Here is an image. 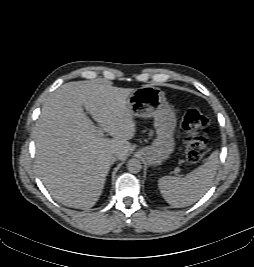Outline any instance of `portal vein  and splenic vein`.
<instances>
[{
    "label": "portal vein and splenic vein",
    "instance_id": "obj_1",
    "mask_svg": "<svg viewBox=\"0 0 254 267\" xmlns=\"http://www.w3.org/2000/svg\"><path fill=\"white\" fill-rule=\"evenodd\" d=\"M97 135L98 136H103V130L100 127H98ZM175 171L176 172H179V168H176Z\"/></svg>",
    "mask_w": 254,
    "mask_h": 267
}]
</instances>
